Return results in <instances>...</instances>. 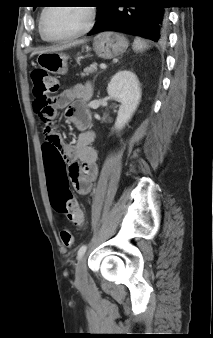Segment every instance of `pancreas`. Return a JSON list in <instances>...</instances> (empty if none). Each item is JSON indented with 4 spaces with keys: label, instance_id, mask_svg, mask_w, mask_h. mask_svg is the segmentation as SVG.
Listing matches in <instances>:
<instances>
[{
    "label": "pancreas",
    "instance_id": "1",
    "mask_svg": "<svg viewBox=\"0 0 213 338\" xmlns=\"http://www.w3.org/2000/svg\"><path fill=\"white\" fill-rule=\"evenodd\" d=\"M96 71H97V65L94 63L90 65V67H86L84 71L81 73V76L82 77L88 76L89 74L94 73Z\"/></svg>",
    "mask_w": 213,
    "mask_h": 338
}]
</instances>
